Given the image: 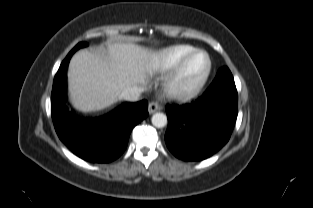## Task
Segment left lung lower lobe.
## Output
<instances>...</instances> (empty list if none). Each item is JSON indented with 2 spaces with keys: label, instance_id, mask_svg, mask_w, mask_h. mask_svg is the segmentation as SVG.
<instances>
[{
  "label": "left lung lower lobe",
  "instance_id": "obj_1",
  "mask_svg": "<svg viewBox=\"0 0 313 208\" xmlns=\"http://www.w3.org/2000/svg\"><path fill=\"white\" fill-rule=\"evenodd\" d=\"M165 142L179 159L200 161L229 140L238 112L234 82L215 78L201 97L186 105L166 106Z\"/></svg>",
  "mask_w": 313,
  "mask_h": 208
}]
</instances>
